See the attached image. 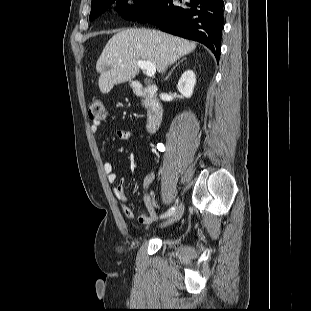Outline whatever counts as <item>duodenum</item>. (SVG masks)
Masks as SVG:
<instances>
[{
  "mask_svg": "<svg viewBox=\"0 0 311 311\" xmlns=\"http://www.w3.org/2000/svg\"><path fill=\"white\" fill-rule=\"evenodd\" d=\"M130 85L136 96L148 98L146 129L152 133L161 123L164 113L163 105L157 98L158 87L153 84L143 85L138 79H132Z\"/></svg>",
  "mask_w": 311,
  "mask_h": 311,
  "instance_id": "410a0bca",
  "label": "duodenum"
}]
</instances>
